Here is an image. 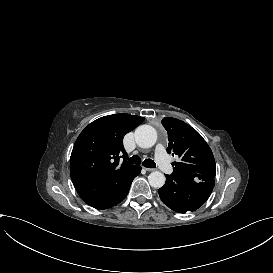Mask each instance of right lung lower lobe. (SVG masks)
<instances>
[{
    "label": "right lung lower lobe",
    "instance_id": "98d812e1",
    "mask_svg": "<svg viewBox=\"0 0 273 273\" xmlns=\"http://www.w3.org/2000/svg\"><path fill=\"white\" fill-rule=\"evenodd\" d=\"M140 171H141V167L137 166V168L135 169L133 174L116 188V190H115L116 194H115L114 198L109 203H107L103 206L97 207V209H107V208L113 207L116 204L120 203L128 194V191H129V188L131 186L133 179L137 175H139Z\"/></svg>",
    "mask_w": 273,
    "mask_h": 273
}]
</instances>
